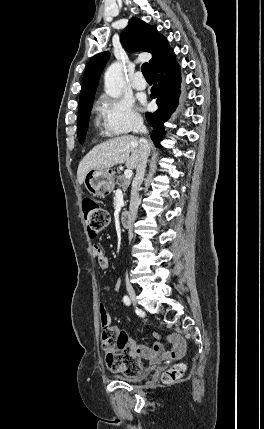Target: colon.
Listing matches in <instances>:
<instances>
[{"mask_svg": "<svg viewBox=\"0 0 264 429\" xmlns=\"http://www.w3.org/2000/svg\"><path fill=\"white\" fill-rule=\"evenodd\" d=\"M82 209L91 236L98 235L109 223V213L97 201L86 197L82 201ZM102 324V346L105 351L107 366L114 372L134 376L140 373L141 363L132 353L127 334L109 324L108 315L102 304L99 306ZM184 373L182 365H175L162 375V381L171 383Z\"/></svg>", "mask_w": 264, "mask_h": 429, "instance_id": "1", "label": "colon"}]
</instances>
